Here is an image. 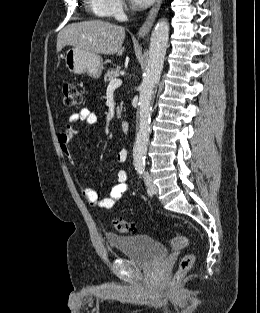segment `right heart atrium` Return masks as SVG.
<instances>
[{
    "mask_svg": "<svg viewBox=\"0 0 260 313\" xmlns=\"http://www.w3.org/2000/svg\"><path fill=\"white\" fill-rule=\"evenodd\" d=\"M103 16L120 19L124 16L126 4L124 0H100Z\"/></svg>",
    "mask_w": 260,
    "mask_h": 313,
    "instance_id": "right-heart-atrium-1",
    "label": "right heart atrium"
}]
</instances>
